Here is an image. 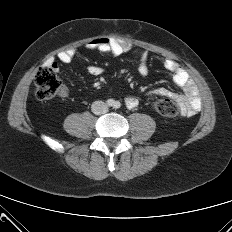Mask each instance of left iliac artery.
Returning <instances> with one entry per match:
<instances>
[{"label":"left iliac artery","instance_id":"44dca946","mask_svg":"<svg viewBox=\"0 0 232 232\" xmlns=\"http://www.w3.org/2000/svg\"><path fill=\"white\" fill-rule=\"evenodd\" d=\"M120 106H121L120 102L116 101V102L114 103V108H115V109L120 108Z\"/></svg>","mask_w":232,"mask_h":232}]
</instances>
